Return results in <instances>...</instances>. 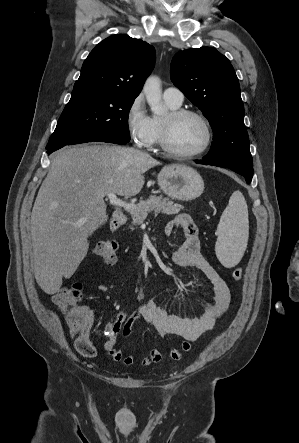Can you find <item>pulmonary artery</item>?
<instances>
[{"instance_id": "obj_1", "label": "pulmonary artery", "mask_w": 299, "mask_h": 443, "mask_svg": "<svg viewBox=\"0 0 299 443\" xmlns=\"http://www.w3.org/2000/svg\"><path fill=\"white\" fill-rule=\"evenodd\" d=\"M163 97L174 105H181L184 100L182 91L176 87H168L164 90Z\"/></svg>"}]
</instances>
